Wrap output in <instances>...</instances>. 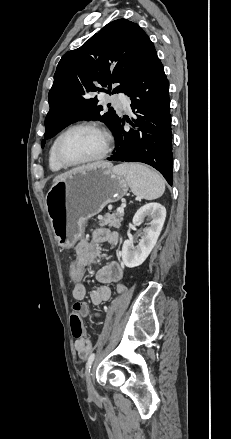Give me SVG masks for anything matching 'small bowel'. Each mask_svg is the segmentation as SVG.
I'll list each match as a JSON object with an SVG mask.
<instances>
[{"label": "small bowel", "instance_id": "c3829d8e", "mask_svg": "<svg viewBox=\"0 0 231 439\" xmlns=\"http://www.w3.org/2000/svg\"><path fill=\"white\" fill-rule=\"evenodd\" d=\"M121 241V236L116 231H111L106 228L96 229L92 236L82 240L76 250V258L82 259V264L85 268L95 264L101 257V245L108 243L113 248L118 247ZM124 277V268L117 261H107L96 272L97 286L90 292L89 297L93 305H100L107 302L111 298L110 284L117 285L118 292L124 291V285L121 280ZM87 283H75L72 296L77 301L74 304V310L82 316H88L90 311L86 304L82 301L87 295ZM74 347L81 359L87 358L92 351V344L88 338H79L75 340Z\"/></svg>", "mask_w": 231, "mask_h": 439}]
</instances>
